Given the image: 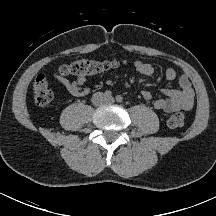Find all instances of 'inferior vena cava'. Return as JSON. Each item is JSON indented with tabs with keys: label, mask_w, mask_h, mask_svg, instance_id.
<instances>
[{
	"label": "inferior vena cava",
	"mask_w": 216,
	"mask_h": 216,
	"mask_svg": "<svg viewBox=\"0 0 216 216\" xmlns=\"http://www.w3.org/2000/svg\"><path fill=\"white\" fill-rule=\"evenodd\" d=\"M103 98H104V94L102 92H96L93 94L92 103L96 106H99L102 104Z\"/></svg>",
	"instance_id": "602c4592"
}]
</instances>
